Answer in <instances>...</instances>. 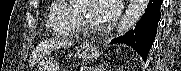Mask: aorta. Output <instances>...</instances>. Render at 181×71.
Segmentation results:
<instances>
[{
  "mask_svg": "<svg viewBox=\"0 0 181 71\" xmlns=\"http://www.w3.org/2000/svg\"><path fill=\"white\" fill-rule=\"evenodd\" d=\"M148 2V0H130V4L116 29V36L124 35L135 27L138 21L144 16Z\"/></svg>",
  "mask_w": 181,
  "mask_h": 71,
  "instance_id": "obj_1",
  "label": "aorta"
}]
</instances>
